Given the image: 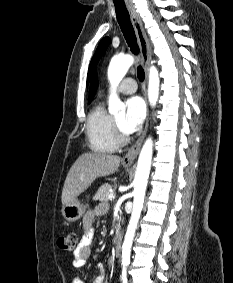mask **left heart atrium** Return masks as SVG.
Returning <instances> with one entry per match:
<instances>
[{"instance_id": "39dd6f15", "label": "left heart atrium", "mask_w": 233, "mask_h": 283, "mask_svg": "<svg viewBox=\"0 0 233 283\" xmlns=\"http://www.w3.org/2000/svg\"><path fill=\"white\" fill-rule=\"evenodd\" d=\"M146 116V106L139 96H133L126 101V115L123 129L126 133L136 131L143 123Z\"/></svg>"}]
</instances>
